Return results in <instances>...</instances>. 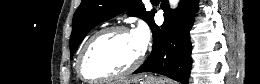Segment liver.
Instances as JSON below:
<instances>
[{
	"label": "liver",
	"instance_id": "6515ba94",
	"mask_svg": "<svg viewBox=\"0 0 260 84\" xmlns=\"http://www.w3.org/2000/svg\"><path fill=\"white\" fill-rule=\"evenodd\" d=\"M140 76H141V75L135 77L134 79H137V78H139ZM134 79L129 80V81H126L125 84H130V83H132V82L134 81Z\"/></svg>",
	"mask_w": 260,
	"mask_h": 84
}]
</instances>
